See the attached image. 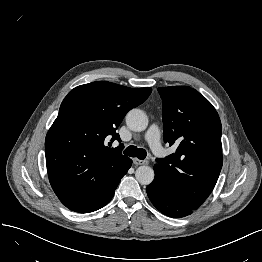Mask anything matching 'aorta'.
Instances as JSON below:
<instances>
[{"label": "aorta", "mask_w": 262, "mask_h": 262, "mask_svg": "<svg viewBox=\"0 0 262 262\" xmlns=\"http://www.w3.org/2000/svg\"><path fill=\"white\" fill-rule=\"evenodd\" d=\"M126 124L133 131H144L148 126V117L141 109L134 108L127 113ZM154 176V170L149 166H140L135 172L137 181L142 185L151 184Z\"/></svg>", "instance_id": "1"}]
</instances>
